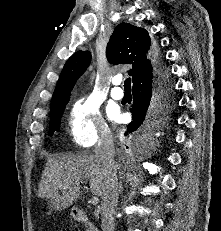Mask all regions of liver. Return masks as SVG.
Returning <instances> with one entry per match:
<instances>
[{
  "label": "liver",
  "instance_id": "6515ba94",
  "mask_svg": "<svg viewBox=\"0 0 221 231\" xmlns=\"http://www.w3.org/2000/svg\"><path fill=\"white\" fill-rule=\"evenodd\" d=\"M87 181L94 195H103L104 174L94 155L57 154L46 164L38 197L48 199L49 208L61 211L73 204L81 193V186Z\"/></svg>",
  "mask_w": 221,
  "mask_h": 231
}]
</instances>
